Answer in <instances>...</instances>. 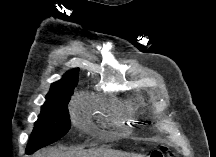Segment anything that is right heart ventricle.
Here are the masks:
<instances>
[{
  "label": "right heart ventricle",
  "mask_w": 216,
  "mask_h": 157,
  "mask_svg": "<svg viewBox=\"0 0 216 157\" xmlns=\"http://www.w3.org/2000/svg\"><path fill=\"white\" fill-rule=\"evenodd\" d=\"M119 106H120V108L122 109V110H131L132 109V105L131 104H129V103H127V102H125V101H119Z\"/></svg>",
  "instance_id": "obj_1"
}]
</instances>
